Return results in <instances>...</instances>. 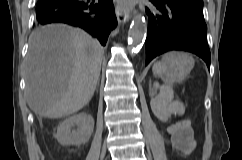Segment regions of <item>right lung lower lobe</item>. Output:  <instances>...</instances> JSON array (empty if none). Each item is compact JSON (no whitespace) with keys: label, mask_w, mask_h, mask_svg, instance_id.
Segmentation results:
<instances>
[{"label":"right lung lower lobe","mask_w":242,"mask_h":160,"mask_svg":"<svg viewBox=\"0 0 242 160\" xmlns=\"http://www.w3.org/2000/svg\"><path fill=\"white\" fill-rule=\"evenodd\" d=\"M36 19L41 25L66 23L80 27L102 45L117 23L112 0H38Z\"/></svg>","instance_id":"obj_1"}]
</instances>
